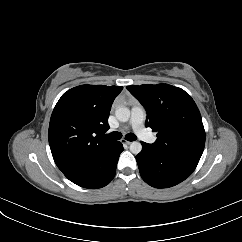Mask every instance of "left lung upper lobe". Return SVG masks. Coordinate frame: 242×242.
<instances>
[{"label": "left lung upper lobe", "mask_w": 242, "mask_h": 242, "mask_svg": "<svg viewBox=\"0 0 242 242\" xmlns=\"http://www.w3.org/2000/svg\"><path fill=\"white\" fill-rule=\"evenodd\" d=\"M130 93L144 106L146 126L157 131V149L199 161L205 145L200 112L183 89L168 85H131Z\"/></svg>", "instance_id": "5c2ea615"}]
</instances>
